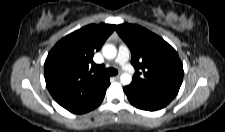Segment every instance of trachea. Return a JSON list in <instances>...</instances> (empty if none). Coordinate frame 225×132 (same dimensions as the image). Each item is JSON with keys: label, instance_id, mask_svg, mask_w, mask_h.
Segmentation results:
<instances>
[{"label": "trachea", "instance_id": "trachea-1", "mask_svg": "<svg viewBox=\"0 0 225 132\" xmlns=\"http://www.w3.org/2000/svg\"><path fill=\"white\" fill-rule=\"evenodd\" d=\"M102 73L104 76H114L118 74V71L114 68H107Z\"/></svg>", "mask_w": 225, "mask_h": 132}]
</instances>
